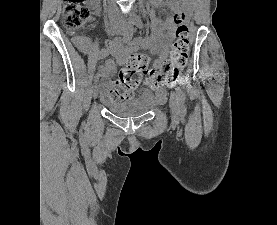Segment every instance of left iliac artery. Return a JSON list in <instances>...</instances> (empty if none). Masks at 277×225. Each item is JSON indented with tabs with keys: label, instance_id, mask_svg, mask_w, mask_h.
<instances>
[{
	"label": "left iliac artery",
	"instance_id": "left-iliac-artery-1",
	"mask_svg": "<svg viewBox=\"0 0 277 225\" xmlns=\"http://www.w3.org/2000/svg\"><path fill=\"white\" fill-rule=\"evenodd\" d=\"M134 24L138 28H143V23H142L141 19L138 17L134 20ZM176 91H177V94L179 97L181 110H182V112H184L185 111V99H186L185 92L183 91V89L180 86L176 87Z\"/></svg>",
	"mask_w": 277,
	"mask_h": 225
}]
</instances>
